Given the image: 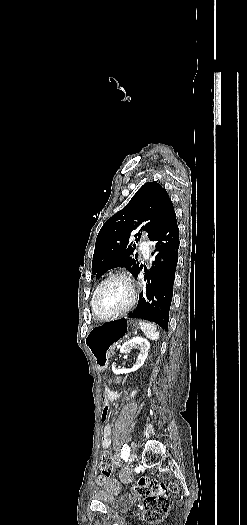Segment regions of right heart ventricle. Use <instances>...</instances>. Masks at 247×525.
I'll list each match as a JSON object with an SVG mask.
<instances>
[{
  "mask_svg": "<svg viewBox=\"0 0 247 525\" xmlns=\"http://www.w3.org/2000/svg\"><path fill=\"white\" fill-rule=\"evenodd\" d=\"M90 307H91V309H92V297L90 298ZM92 314H93V318H94V317H99V316H97V315L93 312V309H92Z\"/></svg>",
  "mask_w": 247,
  "mask_h": 525,
  "instance_id": "1",
  "label": "right heart ventricle"
}]
</instances>
